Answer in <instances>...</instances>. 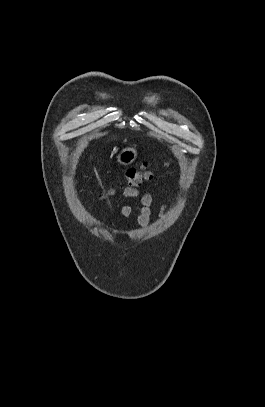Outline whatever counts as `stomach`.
Here are the masks:
<instances>
[{
    "mask_svg": "<svg viewBox=\"0 0 265 407\" xmlns=\"http://www.w3.org/2000/svg\"><path fill=\"white\" fill-rule=\"evenodd\" d=\"M137 158V150L133 147L123 149L117 156V161L123 165H129Z\"/></svg>",
    "mask_w": 265,
    "mask_h": 407,
    "instance_id": "0dacf381",
    "label": "stomach"
}]
</instances>
